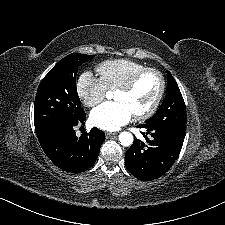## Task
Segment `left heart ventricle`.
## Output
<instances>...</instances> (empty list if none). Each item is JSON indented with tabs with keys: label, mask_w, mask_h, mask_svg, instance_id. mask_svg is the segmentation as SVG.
<instances>
[{
	"label": "left heart ventricle",
	"mask_w": 225,
	"mask_h": 225,
	"mask_svg": "<svg viewBox=\"0 0 225 225\" xmlns=\"http://www.w3.org/2000/svg\"><path fill=\"white\" fill-rule=\"evenodd\" d=\"M159 89V79L153 73L145 74L129 93L116 91L114 98L123 103L133 115L146 111L154 102Z\"/></svg>",
	"instance_id": "1"
}]
</instances>
